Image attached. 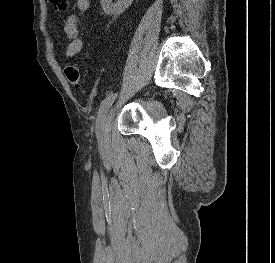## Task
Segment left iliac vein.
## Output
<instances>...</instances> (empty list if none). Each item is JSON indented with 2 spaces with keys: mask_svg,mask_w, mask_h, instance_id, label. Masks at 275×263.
<instances>
[{
  "mask_svg": "<svg viewBox=\"0 0 275 263\" xmlns=\"http://www.w3.org/2000/svg\"><path fill=\"white\" fill-rule=\"evenodd\" d=\"M115 115V108H111L105 114L99 128V139L102 143H107L109 140V132L112 125V120Z\"/></svg>",
  "mask_w": 275,
  "mask_h": 263,
  "instance_id": "4c4485c4",
  "label": "left iliac vein"
}]
</instances>
